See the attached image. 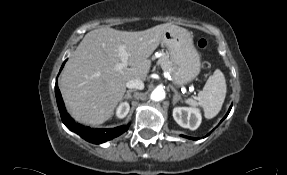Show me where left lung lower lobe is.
I'll return each instance as SVG.
<instances>
[{"mask_svg": "<svg viewBox=\"0 0 287 175\" xmlns=\"http://www.w3.org/2000/svg\"><path fill=\"white\" fill-rule=\"evenodd\" d=\"M231 108H232V106L229 108V110H228V112H227L226 116L222 119V121H223V120L228 116V114H229V112H230ZM222 121H221V122H222ZM183 137H186V136H183ZM187 138H189V139H193V140H196V138H192V137H187Z\"/></svg>", "mask_w": 287, "mask_h": 175, "instance_id": "left-lung-lower-lobe-1", "label": "left lung lower lobe"}]
</instances>
